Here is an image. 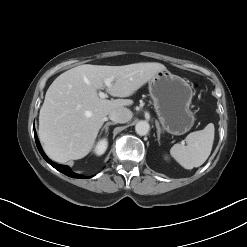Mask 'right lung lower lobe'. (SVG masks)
I'll return each instance as SVG.
<instances>
[{
    "label": "right lung lower lobe",
    "mask_w": 247,
    "mask_h": 247,
    "mask_svg": "<svg viewBox=\"0 0 247 247\" xmlns=\"http://www.w3.org/2000/svg\"><path fill=\"white\" fill-rule=\"evenodd\" d=\"M34 135H35V141H36V145H37V148L40 152V154L43 156V158L50 164L52 165L55 169H57L58 171L64 173L65 175L69 176V177H72V178H91V177H84V176H81V175H78L76 173H74L68 166L66 165H59V164H55L54 162H52L46 155L45 153L43 152L42 148H41V145L39 143V140L37 138V135H36V132H35V129H34Z\"/></svg>",
    "instance_id": "1"
}]
</instances>
